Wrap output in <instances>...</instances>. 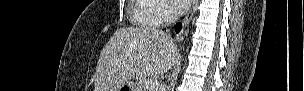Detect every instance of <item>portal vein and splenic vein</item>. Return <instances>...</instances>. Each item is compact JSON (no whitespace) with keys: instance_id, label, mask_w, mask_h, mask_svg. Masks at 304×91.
Instances as JSON below:
<instances>
[{"instance_id":"obj_1","label":"portal vein and splenic vein","mask_w":304,"mask_h":91,"mask_svg":"<svg viewBox=\"0 0 304 91\" xmlns=\"http://www.w3.org/2000/svg\"><path fill=\"white\" fill-rule=\"evenodd\" d=\"M157 83L158 82H157L156 79H148V80L145 81L144 88L147 91H151L156 87Z\"/></svg>"}]
</instances>
